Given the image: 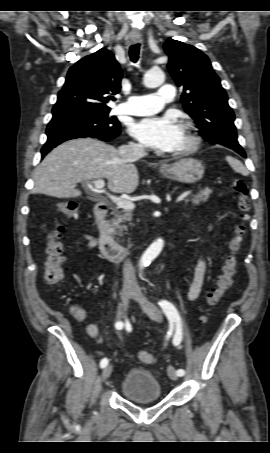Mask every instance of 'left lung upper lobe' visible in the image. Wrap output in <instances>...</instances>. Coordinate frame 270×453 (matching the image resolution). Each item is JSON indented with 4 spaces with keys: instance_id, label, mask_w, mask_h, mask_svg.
<instances>
[{
    "instance_id": "obj_1",
    "label": "left lung upper lobe",
    "mask_w": 270,
    "mask_h": 453,
    "mask_svg": "<svg viewBox=\"0 0 270 453\" xmlns=\"http://www.w3.org/2000/svg\"><path fill=\"white\" fill-rule=\"evenodd\" d=\"M164 50L169 56V72L183 87L184 109L196 121L199 134L211 144L239 145L235 115L209 58L194 46L173 39L164 43Z\"/></svg>"
}]
</instances>
